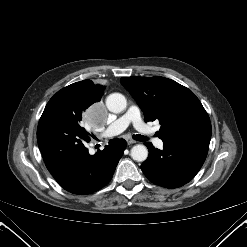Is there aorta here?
Instances as JSON below:
<instances>
[{
  "label": "aorta",
  "instance_id": "aorta-1",
  "mask_svg": "<svg viewBox=\"0 0 247 247\" xmlns=\"http://www.w3.org/2000/svg\"><path fill=\"white\" fill-rule=\"evenodd\" d=\"M106 106L110 112L120 113L127 107V100L120 93H112L106 99ZM131 157L137 162H143L148 157V149L146 146L137 144L131 149Z\"/></svg>",
  "mask_w": 247,
  "mask_h": 247
}]
</instances>
